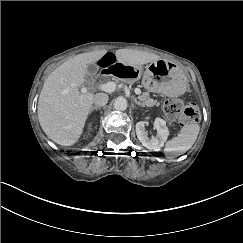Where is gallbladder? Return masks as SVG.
Wrapping results in <instances>:
<instances>
[{"label": "gallbladder", "instance_id": "obj_1", "mask_svg": "<svg viewBox=\"0 0 243 243\" xmlns=\"http://www.w3.org/2000/svg\"><path fill=\"white\" fill-rule=\"evenodd\" d=\"M99 72V66L97 64H91L87 68V74L94 76Z\"/></svg>", "mask_w": 243, "mask_h": 243}]
</instances>
